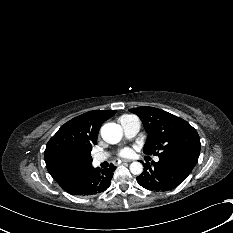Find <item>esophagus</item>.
Masks as SVG:
<instances>
[{
  "mask_svg": "<svg viewBox=\"0 0 233 233\" xmlns=\"http://www.w3.org/2000/svg\"><path fill=\"white\" fill-rule=\"evenodd\" d=\"M121 162H122V163H130L131 160H122Z\"/></svg>",
  "mask_w": 233,
  "mask_h": 233,
  "instance_id": "obj_1",
  "label": "esophagus"
}]
</instances>
